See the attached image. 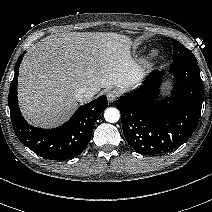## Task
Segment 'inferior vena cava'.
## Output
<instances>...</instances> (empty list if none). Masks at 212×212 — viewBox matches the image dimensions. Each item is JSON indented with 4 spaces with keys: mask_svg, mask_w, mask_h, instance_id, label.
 I'll return each mask as SVG.
<instances>
[{
    "mask_svg": "<svg viewBox=\"0 0 212 212\" xmlns=\"http://www.w3.org/2000/svg\"><path fill=\"white\" fill-rule=\"evenodd\" d=\"M94 95L95 93L93 90L87 88H81L76 92L75 98L78 102L85 103L90 101L94 97Z\"/></svg>",
    "mask_w": 212,
    "mask_h": 212,
    "instance_id": "inferior-vena-cava-1",
    "label": "inferior vena cava"
}]
</instances>
